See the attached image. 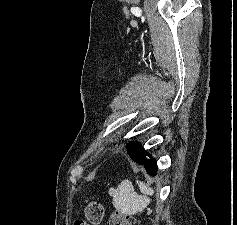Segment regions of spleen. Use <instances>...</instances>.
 I'll use <instances>...</instances> for the list:
<instances>
[{
  "label": "spleen",
  "instance_id": "spleen-1",
  "mask_svg": "<svg viewBox=\"0 0 237 225\" xmlns=\"http://www.w3.org/2000/svg\"><path fill=\"white\" fill-rule=\"evenodd\" d=\"M141 195H138L132 184L124 180L117 188H110L109 195L113 198V206L124 215H134L142 212L150 203L149 196L154 194V190L144 182L137 181Z\"/></svg>",
  "mask_w": 237,
  "mask_h": 225
}]
</instances>
